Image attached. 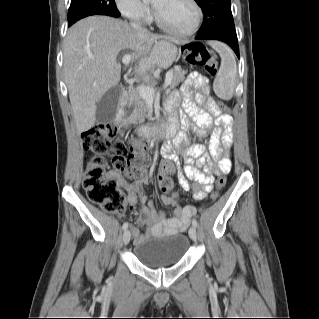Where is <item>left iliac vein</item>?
<instances>
[{
    "mask_svg": "<svg viewBox=\"0 0 319 319\" xmlns=\"http://www.w3.org/2000/svg\"><path fill=\"white\" fill-rule=\"evenodd\" d=\"M189 236L192 240H196V237H197V233H196V228L195 227H191L189 229Z\"/></svg>",
    "mask_w": 319,
    "mask_h": 319,
    "instance_id": "left-iliac-vein-1",
    "label": "left iliac vein"
}]
</instances>
